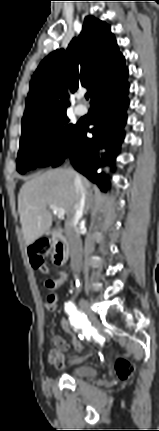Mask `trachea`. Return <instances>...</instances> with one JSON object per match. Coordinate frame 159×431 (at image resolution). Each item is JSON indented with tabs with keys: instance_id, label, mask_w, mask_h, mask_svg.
Returning a JSON list of instances; mask_svg holds the SVG:
<instances>
[{
	"instance_id": "1",
	"label": "trachea",
	"mask_w": 159,
	"mask_h": 431,
	"mask_svg": "<svg viewBox=\"0 0 159 431\" xmlns=\"http://www.w3.org/2000/svg\"><path fill=\"white\" fill-rule=\"evenodd\" d=\"M85 97H86V99H89V97H90V93H87V94L85 95Z\"/></svg>"
}]
</instances>
